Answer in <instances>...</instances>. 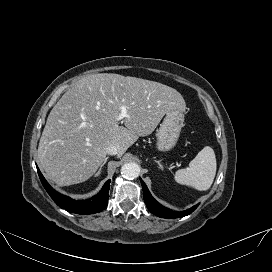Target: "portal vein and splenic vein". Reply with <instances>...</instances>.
I'll return each instance as SVG.
<instances>
[{
    "instance_id": "obj_1",
    "label": "portal vein and splenic vein",
    "mask_w": 272,
    "mask_h": 272,
    "mask_svg": "<svg viewBox=\"0 0 272 272\" xmlns=\"http://www.w3.org/2000/svg\"><path fill=\"white\" fill-rule=\"evenodd\" d=\"M119 109H120V113L117 117V121H120V120L128 117L127 107L125 105H120Z\"/></svg>"
}]
</instances>
